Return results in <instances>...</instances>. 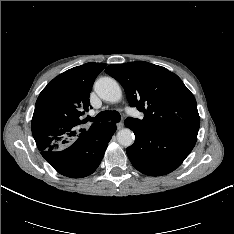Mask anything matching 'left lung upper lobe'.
<instances>
[{
    "instance_id": "5c2ea615",
    "label": "left lung upper lobe",
    "mask_w": 234,
    "mask_h": 234,
    "mask_svg": "<svg viewBox=\"0 0 234 234\" xmlns=\"http://www.w3.org/2000/svg\"><path fill=\"white\" fill-rule=\"evenodd\" d=\"M105 72L124 87L130 106L144 113L142 120H127L153 128L199 130L196 100L176 74L148 62L112 64Z\"/></svg>"
}]
</instances>
